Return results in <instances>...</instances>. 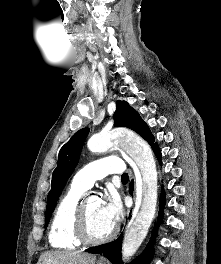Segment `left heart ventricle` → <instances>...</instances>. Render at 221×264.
I'll return each mask as SVG.
<instances>
[{
    "label": "left heart ventricle",
    "mask_w": 221,
    "mask_h": 264,
    "mask_svg": "<svg viewBox=\"0 0 221 264\" xmlns=\"http://www.w3.org/2000/svg\"><path fill=\"white\" fill-rule=\"evenodd\" d=\"M86 218L89 234L93 238H101L107 235L113 224L105 216L102 202L98 198H90L86 205Z\"/></svg>",
    "instance_id": "b2bd125f"
}]
</instances>
